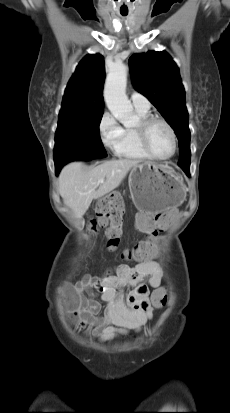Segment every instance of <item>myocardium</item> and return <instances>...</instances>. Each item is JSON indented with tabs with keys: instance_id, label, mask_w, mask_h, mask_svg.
I'll use <instances>...</instances> for the list:
<instances>
[{
	"instance_id": "obj_1",
	"label": "myocardium",
	"mask_w": 230,
	"mask_h": 413,
	"mask_svg": "<svg viewBox=\"0 0 230 413\" xmlns=\"http://www.w3.org/2000/svg\"><path fill=\"white\" fill-rule=\"evenodd\" d=\"M155 122H160L164 124L168 128L171 134L173 148H172L171 153L168 156H165V157L158 156L151 150L149 146L148 137H147L148 129ZM136 132H137L138 139H139L142 149L150 158L160 160V161H166L174 157V155L176 154L177 148H178L177 135H176V132L173 126L166 119L159 117V116H148L144 119H141L139 124L136 127Z\"/></svg>"
}]
</instances>
